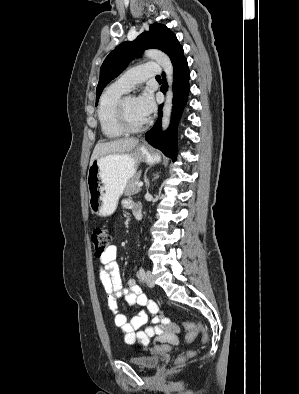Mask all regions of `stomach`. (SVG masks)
I'll return each mask as SVG.
<instances>
[{"mask_svg": "<svg viewBox=\"0 0 299 394\" xmlns=\"http://www.w3.org/2000/svg\"><path fill=\"white\" fill-rule=\"evenodd\" d=\"M159 161L144 146L132 153L109 154L95 159L89 166L87 186L89 206L95 215L106 217L114 213L128 181L136 174L138 163Z\"/></svg>", "mask_w": 299, "mask_h": 394, "instance_id": "stomach-1", "label": "stomach"}]
</instances>
